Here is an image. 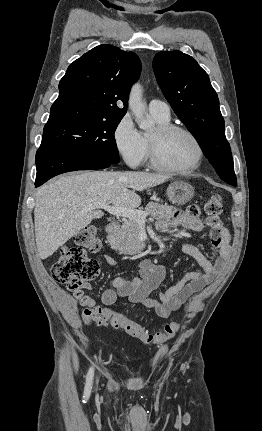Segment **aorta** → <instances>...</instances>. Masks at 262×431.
Here are the masks:
<instances>
[{"label":"aorta","instance_id":"762f6f07","mask_svg":"<svg viewBox=\"0 0 262 431\" xmlns=\"http://www.w3.org/2000/svg\"><path fill=\"white\" fill-rule=\"evenodd\" d=\"M142 92L141 85L138 83L134 84L130 91L128 106L139 128L145 131H151L154 127V122L144 116L146 105L142 100Z\"/></svg>","mask_w":262,"mask_h":431}]
</instances>
